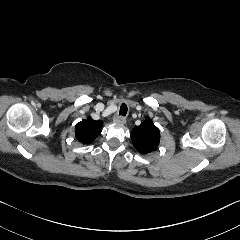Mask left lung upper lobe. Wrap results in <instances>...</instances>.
I'll list each match as a JSON object with an SVG mask.
<instances>
[{"mask_svg": "<svg viewBox=\"0 0 240 240\" xmlns=\"http://www.w3.org/2000/svg\"><path fill=\"white\" fill-rule=\"evenodd\" d=\"M131 139L140 153H150L159 145L160 131L150 118H146L141 125L134 127Z\"/></svg>", "mask_w": 240, "mask_h": 240, "instance_id": "obj_1", "label": "left lung upper lobe"}]
</instances>
